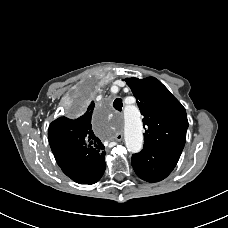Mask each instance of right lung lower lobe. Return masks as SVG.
Here are the masks:
<instances>
[{
  "mask_svg": "<svg viewBox=\"0 0 228 228\" xmlns=\"http://www.w3.org/2000/svg\"><path fill=\"white\" fill-rule=\"evenodd\" d=\"M105 152L77 148L55 155L62 171L77 183H96L105 171Z\"/></svg>",
  "mask_w": 228,
  "mask_h": 228,
  "instance_id": "right-lung-lower-lobe-1",
  "label": "right lung lower lobe"
}]
</instances>
